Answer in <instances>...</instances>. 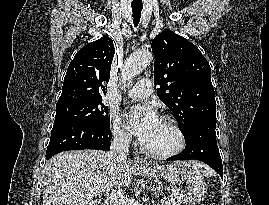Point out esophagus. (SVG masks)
<instances>
[{
	"instance_id": "34e87169",
	"label": "esophagus",
	"mask_w": 269,
	"mask_h": 205,
	"mask_svg": "<svg viewBox=\"0 0 269 205\" xmlns=\"http://www.w3.org/2000/svg\"><path fill=\"white\" fill-rule=\"evenodd\" d=\"M135 164L138 166L145 165V161L142 158L137 157V158H135Z\"/></svg>"
}]
</instances>
